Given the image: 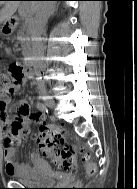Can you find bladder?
<instances>
[{"instance_id":"31cf9c89","label":"bladder","mask_w":137,"mask_h":189,"mask_svg":"<svg viewBox=\"0 0 137 189\" xmlns=\"http://www.w3.org/2000/svg\"><path fill=\"white\" fill-rule=\"evenodd\" d=\"M13 177L24 184L29 185H51L57 180V173L46 162H41L36 166L31 167L27 175L14 174Z\"/></svg>"}]
</instances>
